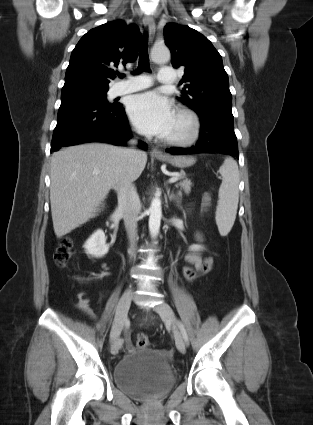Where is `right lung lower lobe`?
Masks as SVG:
<instances>
[{
	"label": "right lung lower lobe",
	"instance_id": "right-lung-lower-lobe-1",
	"mask_svg": "<svg viewBox=\"0 0 313 425\" xmlns=\"http://www.w3.org/2000/svg\"><path fill=\"white\" fill-rule=\"evenodd\" d=\"M131 136L122 104L105 103L78 91L61 94L51 152L63 146L94 141L125 146ZM139 146L147 149L143 142Z\"/></svg>",
	"mask_w": 313,
	"mask_h": 425
}]
</instances>
